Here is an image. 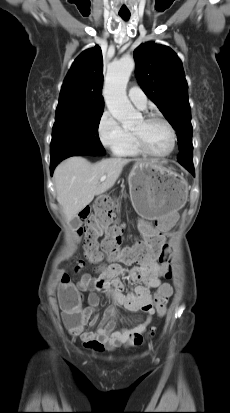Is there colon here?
Here are the masks:
<instances>
[{
    "label": "colon",
    "instance_id": "1",
    "mask_svg": "<svg viewBox=\"0 0 230 413\" xmlns=\"http://www.w3.org/2000/svg\"><path fill=\"white\" fill-rule=\"evenodd\" d=\"M118 199L119 194L117 192H99V200L96 202L93 211H91L92 207L89 204L80 209L83 225L79 233L83 238L86 258L94 264H99L104 255L108 259H120L125 263H143L149 260H158L162 265L158 267V272L165 273V277L170 279L172 277V254L161 231L146 237L144 241L134 246L121 248L124 225L116 220V210L110 201H117ZM103 232H105V237L101 245H98L96 240ZM81 265L79 261L76 264V269L80 268ZM62 283H67V281L63 279ZM154 300L158 315H164L167 299L162 295H158ZM79 301V295L74 292L66 294L61 301L64 309L73 314L76 324L80 321ZM151 334H154V328L151 330ZM142 342L143 337L139 336L134 338L132 345H140Z\"/></svg>",
    "mask_w": 230,
    "mask_h": 413
}]
</instances>
